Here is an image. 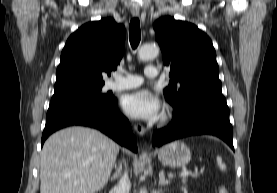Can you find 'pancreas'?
Listing matches in <instances>:
<instances>
[{"instance_id":"obj_1","label":"pancreas","mask_w":277,"mask_h":193,"mask_svg":"<svg viewBox=\"0 0 277 193\" xmlns=\"http://www.w3.org/2000/svg\"><path fill=\"white\" fill-rule=\"evenodd\" d=\"M183 183H184V184L186 183V179H185V178L183 179Z\"/></svg>"}]
</instances>
